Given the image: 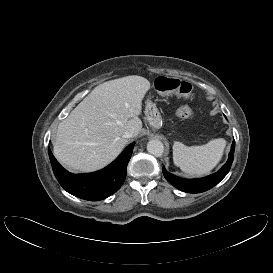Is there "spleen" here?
I'll return each mask as SVG.
<instances>
[{
    "label": "spleen",
    "instance_id": "obj_1",
    "mask_svg": "<svg viewBox=\"0 0 273 273\" xmlns=\"http://www.w3.org/2000/svg\"><path fill=\"white\" fill-rule=\"evenodd\" d=\"M226 140L213 139L205 145L186 146L181 142L173 144L174 164L189 175H204L209 173L220 162Z\"/></svg>",
    "mask_w": 273,
    "mask_h": 273
}]
</instances>
